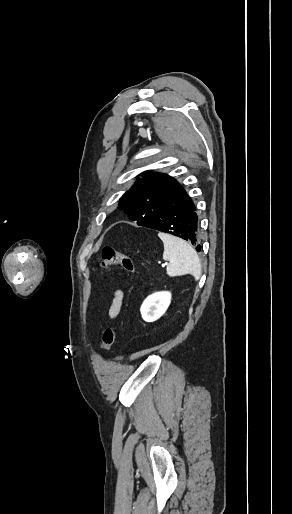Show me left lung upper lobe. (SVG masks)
Instances as JSON below:
<instances>
[{
    "label": "left lung upper lobe",
    "mask_w": 292,
    "mask_h": 514,
    "mask_svg": "<svg viewBox=\"0 0 292 514\" xmlns=\"http://www.w3.org/2000/svg\"><path fill=\"white\" fill-rule=\"evenodd\" d=\"M142 178L121 197L119 208L131 220L146 226L162 211L171 196L181 188L173 177L163 173L145 171Z\"/></svg>",
    "instance_id": "1"
}]
</instances>
